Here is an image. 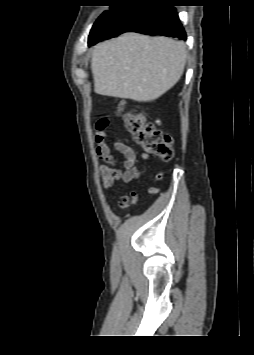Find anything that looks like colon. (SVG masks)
<instances>
[{
    "instance_id": "obj_1",
    "label": "colon",
    "mask_w": 254,
    "mask_h": 355,
    "mask_svg": "<svg viewBox=\"0 0 254 355\" xmlns=\"http://www.w3.org/2000/svg\"><path fill=\"white\" fill-rule=\"evenodd\" d=\"M118 110L126 129L133 141L142 146L147 157H155L162 161H170L174 156L171 137L157 128L153 123L146 122L141 116L131 112L124 101L118 103ZM107 123L100 120L98 128L104 129Z\"/></svg>"
}]
</instances>
